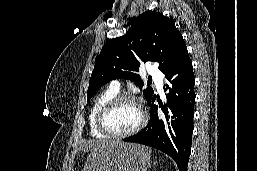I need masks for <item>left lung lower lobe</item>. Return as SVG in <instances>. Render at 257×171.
Masks as SVG:
<instances>
[{"label": "left lung lower lobe", "instance_id": "left-lung-lower-lobe-1", "mask_svg": "<svg viewBox=\"0 0 257 171\" xmlns=\"http://www.w3.org/2000/svg\"><path fill=\"white\" fill-rule=\"evenodd\" d=\"M160 70L166 75L164 91H168L167 103L160 105L163 113H158L152 95L148 100L151 114L147 126L124 141L159 149L174 159L179 171H187L192 143L195 77L186 46L174 52Z\"/></svg>", "mask_w": 257, "mask_h": 171}]
</instances>
